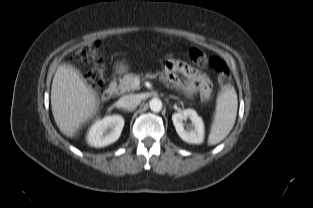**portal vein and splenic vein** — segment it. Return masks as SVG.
<instances>
[{"label":"portal vein and splenic vein","mask_w":313,"mask_h":208,"mask_svg":"<svg viewBox=\"0 0 313 208\" xmlns=\"http://www.w3.org/2000/svg\"><path fill=\"white\" fill-rule=\"evenodd\" d=\"M135 84L138 85V84H139V81H136Z\"/></svg>","instance_id":"portal-vein-and-splenic-vein-1"}]
</instances>
